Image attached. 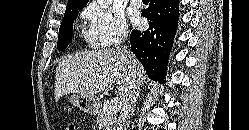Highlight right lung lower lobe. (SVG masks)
Wrapping results in <instances>:
<instances>
[{
    "label": "right lung lower lobe",
    "mask_w": 249,
    "mask_h": 130,
    "mask_svg": "<svg viewBox=\"0 0 249 130\" xmlns=\"http://www.w3.org/2000/svg\"><path fill=\"white\" fill-rule=\"evenodd\" d=\"M143 16L148 19L149 28L144 32L132 31V52L150 79L164 82L168 55L178 24L179 1L150 0Z\"/></svg>",
    "instance_id": "98d812e1"
}]
</instances>
